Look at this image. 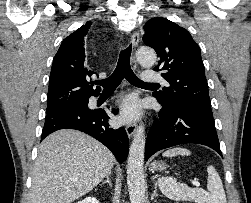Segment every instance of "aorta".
Masks as SVG:
<instances>
[{"instance_id":"aorta-1","label":"aorta","mask_w":251,"mask_h":203,"mask_svg":"<svg viewBox=\"0 0 251 203\" xmlns=\"http://www.w3.org/2000/svg\"><path fill=\"white\" fill-rule=\"evenodd\" d=\"M136 57L143 66H152L157 59L155 51L151 48H140L136 53ZM145 142L144 126L140 125L134 134L127 160V184L131 203H144Z\"/></svg>"}]
</instances>
